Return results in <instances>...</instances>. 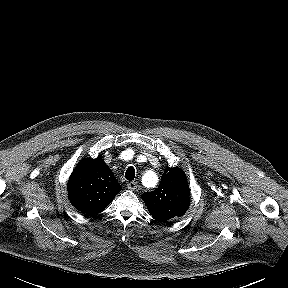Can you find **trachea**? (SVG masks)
<instances>
[{"label": "trachea", "instance_id": "obj_1", "mask_svg": "<svg viewBox=\"0 0 288 288\" xmlns=\"http://www.w3.org/2000/svg\"><path fill=\"white\" fill-rule=\"evenodd\" d=\"M125 178L129 181L134 180L135 178V169L130 166L127 168L126 172H125Z\"/></svg>", "mask_w": 288, "mask_h": 288}]
</instances>
